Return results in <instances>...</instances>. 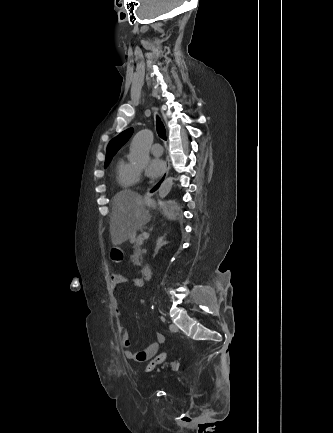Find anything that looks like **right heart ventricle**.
Listing matches in <instances>:
<instances>
[{"label":"right heart ventricle","mask_w":333,"mask_h":433,"mask_svg":"<svg viewBox=\"0 0 333 433\" xmlns=\"http://www.w3.org/2000/svg\"><path fill=\"white\" fill-rule=\"evenodd\" d=\"M115 176L118 186L127 190L133 187L139 179V171L136 166L124 158H118L115 163Z\"/></svg>","instance_id":"obj_1"}]
</instances>
